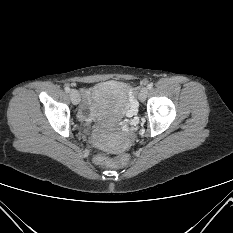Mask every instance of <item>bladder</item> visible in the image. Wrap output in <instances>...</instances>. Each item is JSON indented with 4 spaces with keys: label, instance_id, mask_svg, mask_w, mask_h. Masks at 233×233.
I'll list each match as a JSON object with an SVG mask.
<instances>
[{
    "label": "bladder",
    "instance_id": "bladder-1",
    "mask_svg": "<svg viewBox=\"0 0 233 233\" xmlns=\"http://www.w3.org/2000/svg\"><path fill=\"white\" fill-rule=\"evenodd\" d=\"M92 104L98 116L105 119L118 118L129 104L128 86L119 81L100 83L92 91ZM104 146L109 147L107 144Z\"/></svg>",
    "mask_w": 233,
    "mask_h": 233
}]
</instances>
